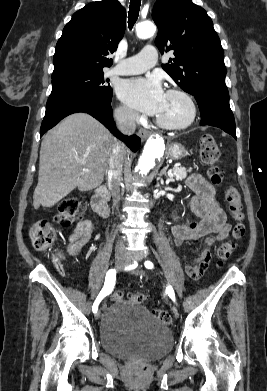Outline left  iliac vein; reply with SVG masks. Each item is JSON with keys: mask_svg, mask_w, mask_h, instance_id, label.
Here are the masks:
<instances>
[{"mask_svg": "<svg viewBox=\"0 0 267 391\" xmlns=\"http://www.w3.org/2000/svg\"><path fill=\"white\" fill-rule=\"evenodd\" d=\"M130 264H131L130 259L127 258L126 265H130ZM132 273H134L136 275H140V274L145 275V272L142 269H140V267H138L137 269L133 270ZM172 310H173V313H174L175 317L178 318L179 317V311H178L177 307L173 305Z\"/></svg>", "mask_w": 267, "mask_h": 391, "instance_id": "4c4485c4", "label": "left iliac vein"}]
</instances>
